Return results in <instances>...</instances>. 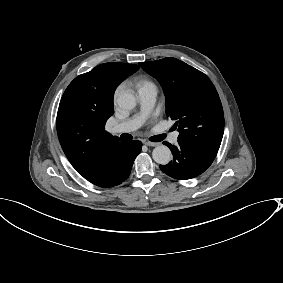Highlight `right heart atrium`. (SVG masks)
I'll return each instance as SVG.
<instances>
[{"label":"right heart atrium","instance_id":"1","mask_svg":"<svg viewBox=\"0 0 283 283\" xmlns=\"http://www.w3.org/2000/svg\"><path fill=\"white\" fill-rule=\"evenodd\" d=\"M121 88H122L121 85H118V86L115 88V90H114V92H113V101H114V102H116V99H117V97H118V94H119L120 91H121Z\"/></svg>","mask_w":283,"mask_h":283}]
</instances>
